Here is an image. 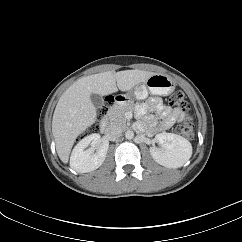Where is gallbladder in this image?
<instances>
[{
    "label": "gallbladder",
    "instance_id": "bac80fb5",
    "mask_svg": "<svg viewBox=\"0 0 242 242\" xmlns=\"http://www.w3.org/2000/svg\"><path fill=\"white\" fill-rule=\"evenodd\" d=\"M90 99L93 103V105L97 108V109H100L103 107L104 105V101L102 99V97L98 94H95V93H92L91 96H90Z\"/></svg>",
    "mask_w": 242,
    "mask_h": 242
}]
</instances>
